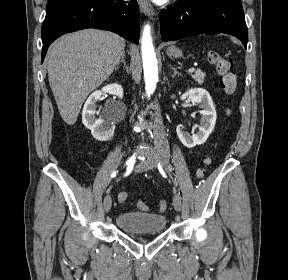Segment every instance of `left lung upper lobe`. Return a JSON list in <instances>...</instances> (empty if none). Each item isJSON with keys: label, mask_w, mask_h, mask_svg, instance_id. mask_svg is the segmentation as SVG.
<instances>
[{"label": "left lung upper lobe", "mask_w": 288, "mask_h": 280, "mask_svg": "<svg viewBox=\"0 0 288 280\" xmlns=\"http://www.w3.org/2000/svg\"><path fill=\"white\" fill-rule=\"evenodd\" d=\"M218 1H222V2H225V3L231 4V5L235 6V7H237L239 10L243 11V8H242L240 0H218Z\"/></svg>", "instance_id": "left-lung-upper-lobe-1"}]
</instances>
